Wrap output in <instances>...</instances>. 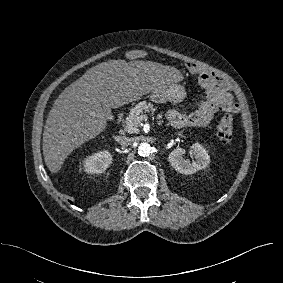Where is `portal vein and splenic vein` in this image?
<instances>
[{
  "label": "portal vein and splenic vein",
  "instance_id": "1",
  "mask_svg": "<svg viewBox=\"0 0 283 283\" xmlns=\"http://www.w3.org/2000/svg\"><path fill=\"white\" fill-rule=\"evenodd\" d=\"M145 119H146V116H145V115H141V116H140V120H141V121H143V120H145Z\"/></svg>",
  "mask_w": 283,
  "mask_h": 283
}]
</instances>
